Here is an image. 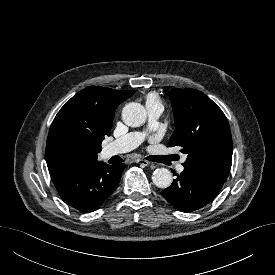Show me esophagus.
<instances>
[{"label":"esophagus","instance_id":"obj_1","mask_svg":"<svg viewBox=\"0 0 275 275\" xmlns=\"http://www.w3.org/2000/svg\"><path fill=\"white\" fill-rule=\"evenodd\" d=\"M137 163L143 166H148L150 164L148 160H144V159H138Z\"/></svg>","mask_w":275,"mask_h":275}]
</instances>
